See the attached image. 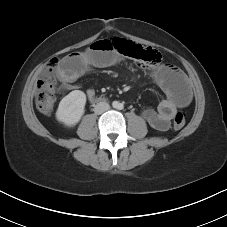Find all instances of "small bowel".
I'll use <instances>...</instances> for the list:
<instances>
[{
  "instance_id": "small-bowel-1",
  "label": "small bowel",
  "mask_w": 227,
  "mask_h": 227,
  "mask_svg": "<svg viewBox=\"0 0 227 227\" xmlns=\"http://www.w3.org/2000/svg\"><path fill=\"white\" fill-rule=\"evenodd\" d=\"M121 60V54L115 50L109 40H98L85 51L72 53L60 62L57 69L61 91H71L78 88L76 81L90 67H110ZM152 77L165 94V98L156 109H146L143 118L154 129L165 131L178 108L189 105L192 93L184 73L171 65L162 64L152 71ZM89 99L94 97V91H87Z\"/></svg>"
}]
</instances>
